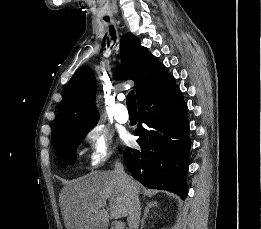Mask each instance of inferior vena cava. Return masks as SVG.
<instances>
[{"mask_svg": "<svg viewBox=\"0 0 261 229\" xmlns=\"http://www.w3.org/2000/svg\"><path fill=\"white\" fill-rule=\"evenodd\" d=\"M114 173L121 177L122 185L126 191V195L129 197V213L127 217V223L129 229H139V221H140V203L138 199V195L136 193V187L131 179L128 177L124 171V167L122 163L116 161L114 165Z\"/></svg>", "mask_w": 261, "mask_h": 229, "instance_id": "obj_1", "label": "inferior vena cava"}]
</instances>
